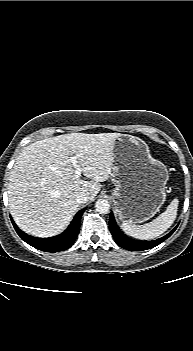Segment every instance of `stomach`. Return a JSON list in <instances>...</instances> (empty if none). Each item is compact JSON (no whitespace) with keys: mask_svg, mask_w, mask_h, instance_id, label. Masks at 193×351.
I'll list each match as a JSON object with an SVG mask.
<instances>
[{"mask_svg":"<svg viewBox=\"0 0 193 351\" xmlns=\"http://www.w3.org/2000/svg\"><path fill=\"white\" fill-rule=\"evenodd\" d=\"M167 167L150 155L148 145L132 135L114 140L112 198L119 219L143 223L166 199Z\"/></svg>","mask_w":193,"mask_h":351,"instance_id":"1","label":"stomach"}]
</instances>
